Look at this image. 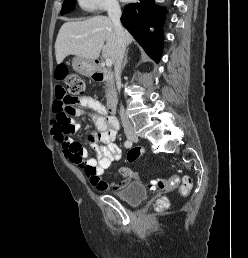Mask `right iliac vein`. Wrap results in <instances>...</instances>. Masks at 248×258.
Masks as SVG:
<instances>
[{"mask_svg": "<svg viewBox=\"0 0 248 258\" xmlns=\"http://www.w3.org/2000/svg\"><path fill=\"white\" fill-rule=\"evenodd\" d=\"M139 137V134H137L136 132H130L128 133V138L132 141L136 140Z\"/></svg>", "mask_w": 248, "mask_h": 258, "instance_id": "1", "label": "right iliac vein"}]
</instances>
